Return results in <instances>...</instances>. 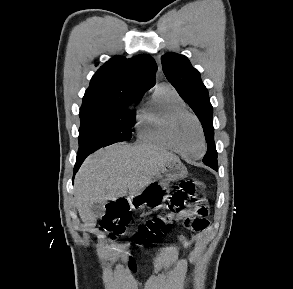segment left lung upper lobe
Returning a JSON list of instances; mask_svg holds the SVG:
<instances>
[{
	"instance_id": "5c2ea615",
	"label": "left lung upper lobe",
	"mask_w": 293,
	"mask_h": 289,
	"mask_svg": "<svg viewBox=\"0 0 293 289\" xmlns=\"http://www.w3.org/2000/svg\"><path fill=\"white\" fill-rule=\"evenodd\" d=\"M161 62L166 78L181 98L192 108L202 124L208 144L203 163L211 168L218 167L217 151L214 144L213 108L199 71L192 67L187 57L176 53L164 54L161 57Z\"/></svg>"
}]
</instances>
